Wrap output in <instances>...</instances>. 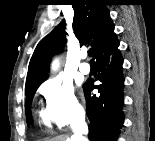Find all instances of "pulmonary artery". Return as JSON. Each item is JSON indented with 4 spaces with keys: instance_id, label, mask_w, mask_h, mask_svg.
I'll return each mask as SVG.
<instances>
[{
    "instance_id": "obj_1",
    "label": "pulmonary artery",
    "mask_w": 155,
    "mask_h": 141,
    "mask_svg": "<svg viewBox=\"0 0 155 141\" xmlns=\"http://www.w3.org/2000/svg\"><path fill=\"white\" fill-rule=\"evenodd\" d=\"M81 58H82V59H85V58H86V53H85V52H83V53L81 54ZM79 70H80V72H81L82 74H88V73L90 72V66H89L88 63L83 62V63L80 64Z\"/></svg>"
}]
</instances>
